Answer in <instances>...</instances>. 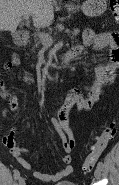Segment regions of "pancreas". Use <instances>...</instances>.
Returning a JSON list of instances; mask_svg holds the SVG:
<instances>
[{"label":"pancreas","instance_id":"cf45deb5","mask_svg":"<svg viewBox=\"0 0 119 185\" xmlns=\"http://www.w3.org/2000/svg\"><path fill=\"white\" fill-rule=\"evenodd\" d=\"M78 33H79L78 29L74 30V32H73L74 35H77ZM47 35H49V34H47ZM33 37H34V43H35L34 47H38L42 43L41 38H40L39 34H36Z\"/></svg>","mask_w":119,"mask_h":185}]
</instances>
